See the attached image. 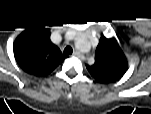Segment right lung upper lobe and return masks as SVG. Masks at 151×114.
Wrapping results in <instances>:
<instances>
[{
    "instance_id": "cb5924a9",
    "label": "right lung upper lobe",
    "mask_w": 151,
    "mask_h": 114,
    "mask_svg": "<svg viewBox=\"0 0 151 114\" xmlns=\"http://www.w3.org/2000/svg\"><path fill=\"white\" fill-rule=\"evenodd\" d=\"M13 50L18 65L34 76L50 74L65 59L51 42L49 31L44 29L24 31L16 38Z\"/></svg>"
}]
</instances>
